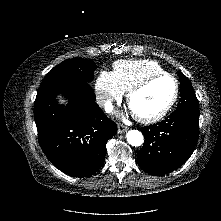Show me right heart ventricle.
Segmentation results:
<instances>
[{
    "label": "right heart ventricle",
    "mask_w": 221,
    "mask_h": 221,
    "mask_svg": "<svg viewBox=\"0 0 221 221\" xmlns=\"http://www.w3.org/2000/svg\"><path fill=\"white\" fill-rule=\"evenodd\" d=\"M165 72L156 62L150 60H119L113 64V75L123 92L145 78Z\"/></svg>",
    "instance_id": "1"
}]
</instances>
